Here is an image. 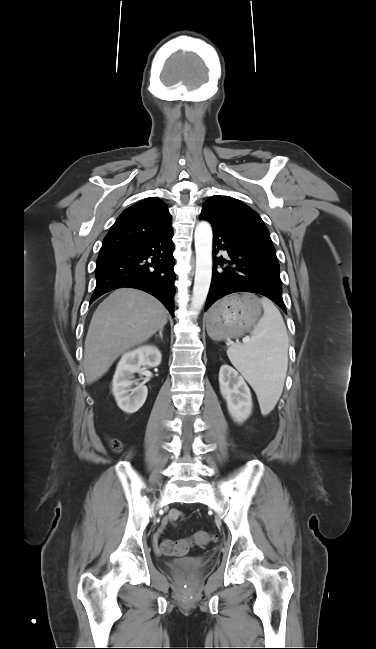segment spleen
Here are the masks:
<instances>
[{"mask_svg": "<svg viewBox=\"0 0 376 649\" xmlns=\"http://www.w3.org/2000/svg\"><path fill=\"white\" fill-rule=\"evenodd\" d=\"M264 314L252 331L251 341L227 349L233 366L255 390L260 410L267 415L278 402L288 367V334L281 313L262 298Z\"/></svg>", "mask_w": 376, "mask_h": 649, "instance_id": "3e777b00", "label": "spleen"}]
</instances>
